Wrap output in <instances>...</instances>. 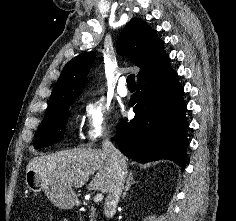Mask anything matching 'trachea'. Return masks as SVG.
<instances>
[{"label": "trachea", "instance_id": "3493384b", "mask_svg": "<svg viewBox=\"0 0 236 221\" xmlns=\"http://www.w3.org/2000/svg\"><path fill=\"white\" fill-rule=\"evenodd\" d=\"M136 82H135V75L134 74H130L127 77V86H135Z\"/></svg>", "mask_w": 236, "mask_h": 221}]
</instances>
